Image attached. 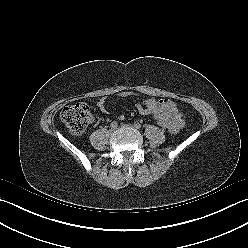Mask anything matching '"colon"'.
<instances>
[{
	"instance_id": "colon-1",
	"label": "colon",
	"mask_w": 248,
	"mask_h": 248,
	"mask_svg": "<svg viewBox=\"0 0 248 248\" xmlns=\"http://www.w3.org/2000/svg\"><path fill=\"white\" fill-rule=\"evenodd\" d=\"M61 120L74 136L85 133L91 119L90 108L86 103H76L65 107L61 112ZM158 126L163 130H169L166 120H158Z\"/></svg>"
}]
</instances>
